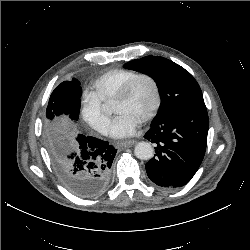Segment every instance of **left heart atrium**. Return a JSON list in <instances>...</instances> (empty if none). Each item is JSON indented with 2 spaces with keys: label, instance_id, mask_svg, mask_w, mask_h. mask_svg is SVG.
I'll use <instances>...</instances> for the list:
<instances>
[{
  "label": "left heart atrium",
  "instance_id": "39dd6f15",
  "mask_svg": "<svg viewBox=\"0 0 250 250\" xmlns=\"http://www.w3.org/2000/svg\"><path fill=\"white\" fill-rule=\"evenodd\" d=\"M140 122L128 114H120L112 123L110 135L115 138H124L133 135Z\"/></svg>",
  "mask_w": 250,
  "mask_h": 250
}]
</instances>
